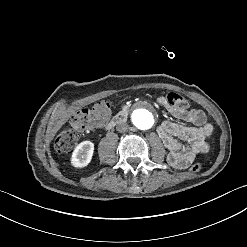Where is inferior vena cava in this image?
I'll use <instances>...</instances> for the list:
<instances>
[{"instance_id":"inferior-vena-cava-1","label":"inferior vena cava","mask_w":247,"mask_h":247,"mask_svg":"<svg viewBox=\"0 0 247 247\" xmlns=\"http://www.w3.org/2000/svg\"><path fill=\"white\" fill-rule=\"evenodd\" d=\"M116 130L118 132H125L128 130V124L124 122H120L116 125Z\"/></svg>"}]
</instances>
